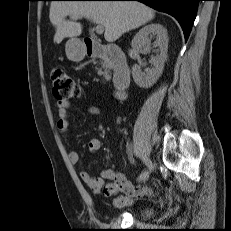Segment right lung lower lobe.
<instances>
[{"mask_svg": "<svg viewBox=\"0 0 231 231\" xmlns=\"http://www.w3.org/2000/svg\"><path fill=\"white\" fill-rule=\"evenodd\" d=\"M113 1V0H95ZM115 1H140L158 11L165 12L176 18L181 25L185 40L188 39L194 23L199 1L201 0H115Z\"/></svg>", "mask_w": 231, "mask_h": 231, "instance_id": "98d812e1", "label": "right lung lower lobe"}]
</instances>
